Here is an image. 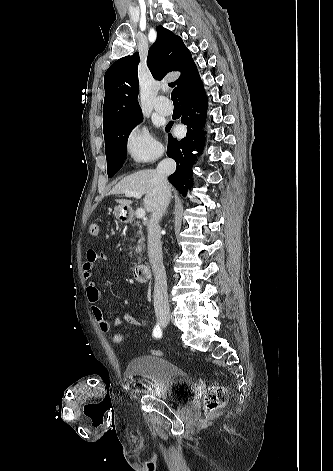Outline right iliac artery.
<instances>
[{
	"mask_svg": "<svg viewBox=\"0 0 333 471\" xmlns=\"http://www.w3.org/2000/svg\"><path fill=\"white\" fill-rule=\"evenodd\" d=\"M153 336L155 338H160L162 336V329H161L159 323L155 326V328L153 330Z\"/></svg>",
	"mask_w": 333,
	"mask_h": 471,
	"instance_id": "82829eb1",
	"label": "right iliac artery"
}]
</instances>
